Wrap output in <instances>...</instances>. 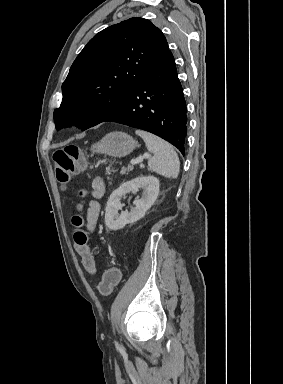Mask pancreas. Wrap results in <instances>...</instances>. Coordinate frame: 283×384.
I'll return each mask as SVG.
<instances>
[{"label": "pancreas", "instance_id": "1", "mask_svg": "<svg viewBox=\"0 0 283 384\" xmlns=\"http://www.w3.org/2000/svg\"><path fill=\"white\" fill-rule=\"evenodd\" d=\"M133 166H128V168H122L120 174H126V172H132Z\"/></svg>", "mask_w": 283, "mask_h": 384}]
</instances>
